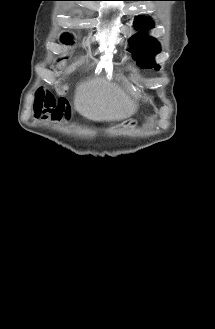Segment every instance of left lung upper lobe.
<instances>
[{"label": "left lung upper lobe", "mask_w": 215, "mask_h": 329, "mask_svg": "<svg viewBox=\"0 0 215 329\" xmlns=\"http://www.w3.org/2000/svg\"><path fill=\"white\" fill-rule=\"evenodd\" d=\"M149 18L138 16L135 20V27L139 30V35L133 36L129 43V51L133 58L137 60L138 65L143 68L159 69V66L154 62V56L160 52L159 43L150 36L145 34V31L153 27V23L148 21ZM148 21V22H147Z\"/></svg>", "instance_id": "5c2ea615"}]
</instances>
